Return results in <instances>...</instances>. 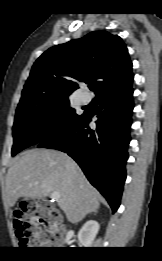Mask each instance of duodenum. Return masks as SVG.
<instances>
[{
  "instance_id": "duodenum-1",
  "label": "duodenum",
  "mask_w": 162,
  "mask_h": 261,
  "mask_svg": "<svg viewBox=\"0 0 162 261\" xmlns=\"http://www.w3.org/2000/svg\"><path fill=\"white\" fill-rule=\"evenodd\" d=\"M49 232L55 235L53 242L59 246L64 245L66 238L70 236V232L62 233L57 227L49 228Z\"/></svg>"
}]
</instances>
